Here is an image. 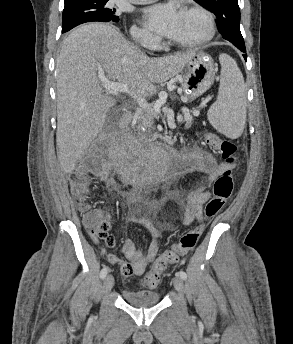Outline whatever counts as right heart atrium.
I'll use <instances>...</instances> for the list:
<instances>
[{
	"label": "right heart atrium",
	"mask_w": 293,
	"mask_h": 344,
	"mask_svg": "<svg viewBox=\"0 0 293 344\" xmlns=\"http://www.w3.org/2000/svg\"><path fill=\"white\" fill-rule=\"evenodd\" d=\"M131 36L135 42L147 49H154L159 44V39L148 30L133 26Z\"/></svg>",
	"instance_id": "1"
}]
</instances>
